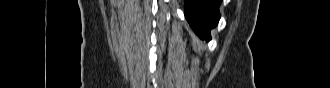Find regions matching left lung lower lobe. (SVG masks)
<instances>
[{
  "instance_id": "left-lung-lower-lobe-1",
  "label": "left lung lower lobe",
  "mask_w": 330,
  "mask_h": 88,
  "mask_svg": "<svg viewBox=\"0 0 330 88\" xmlns=\"http://www.w3.org/2000/svg\"><path fill=\"white\" fill-rule=\"evenodd\" d=\"M221 2L222 0H185L186 19L201 39H211L210 30L220 19Z\"/></svg>"
}]
</instances>
